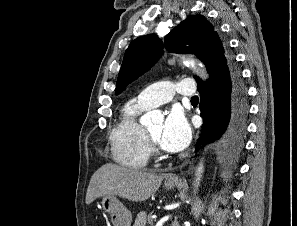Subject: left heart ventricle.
Here are the masks:
<instances>
[{
  "instance_id": "left-heart-ventricle-1",
  "label": "left heart ventricle",
  "mask_w": 297,
  "mask_h": 226,
  "mask_svg": "<svg viewBox=\"0 0 297 226\" xmlns=\"http://www.w3.org/2000/svg\"><path fill=\"white\" fill-rule=\"evenodd\" d=\"M148 131L150 135L153 137V139L158 141L162 132V126L157 125L155 127L150 128Z\"/></svg>"
}]
</instances>
